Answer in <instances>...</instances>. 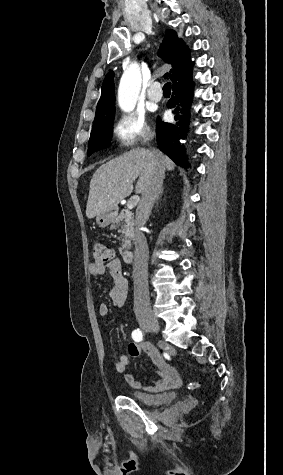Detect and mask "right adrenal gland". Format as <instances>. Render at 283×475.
<instances>
[{"mask_svg":"<svg viewBox=\"0 0 283 475\" xmlns=\"http://www.w3.org/2000/svg\"><path fill=\"white\" fill-rule=\"evenodd\" d=\"M163 192H164V188H162V190L160 192V196H161V194H163ZM157 200H158V198H157Z\"/></svg>","mask_w":283,"mask_h":475,"instance_id":"right-adrenal-gland-1","label":"right adrenal gland"}]
</instances>
